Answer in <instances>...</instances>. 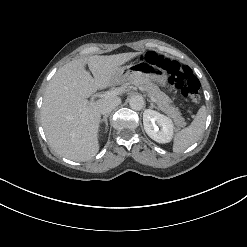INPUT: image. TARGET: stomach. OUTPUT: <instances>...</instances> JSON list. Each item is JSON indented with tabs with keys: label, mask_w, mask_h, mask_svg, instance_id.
Listing matches in <instances>:
<instances>
[{
	"label": "stomach",
	"mask_w": 247,
	"mask_h": 247,
	"mask_svg": "<svg viewBox=\"0 0 247 247\" xmlns=\"http://www.w3.org/2000/svg\"><path fill=\"white\" fill-rule=\"evenodd\" d=\"M131 74L136 79H152L162 87L168 86V76L161 69H155L151 62L147 60H136L130 66L120 67L116 71V78L126 79Z\"/></svg>",
	"instance_id": "obj_1"
}]
</instances>
